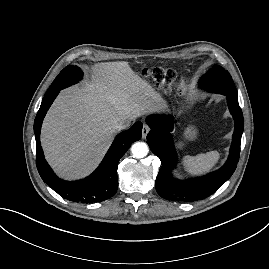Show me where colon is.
I'll use <instances>...</instances> for the list:
<instances>
[{
  "instance_id": "obj_1",
  "label": "colon",
  "mask_w": 269,
  "mask_h": 269,
  "mask_svg": "<svg viewBox=\"0 0 269 269\" xmlns=\"http://www.w3.org/2000/svg\"><path fill=\"white\" fill-rule=\"evenodd\" d=\"M149 75L156 81H170L171 80V75L169 72L167 71H163V70H158V71H153L151 73H149Z\"/></svg>"
}]
</instances>
